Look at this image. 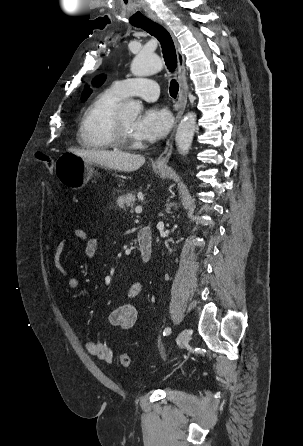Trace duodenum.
<instances>
[{"mask_svg": "<svg viewBox=\"0 0 303 446\" xmlns=\"http://www.w3.org/2000/svg\"><path fill=\"white\" fill-rule=\"evenodd\" d=\"M137 241L142 261L144 263L149 262L153 254V238L151 229L148 227L140 229L137 235Z\"/></svg>", "mask_w": 303, "mask_h": 446, "instance_id": "obj_1", "label": "duodenum"}]
</instances>
